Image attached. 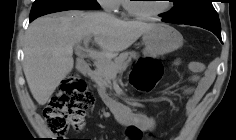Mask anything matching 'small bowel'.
<instances>
[{
  "label": "small bowel",
  "instance_id": "obj_1",
  "mask_svg": "<svg viewBox=\"0 0 236 140\" xmlns=\"http://www.w3.org/2000/svg\"><path fill=\"white\" fill-rule=\"evenodd\" d=\"M180 63V59H176L174 61L175 65H179ZM188 68L192 73L189 77L190 84L183 87V92L188 95L186 115L187 117H190L194 114L197 105L211 86L215 78V74L210 68L205 69L204 65L198 61H191L188 64ZM129 122L136 123L142 130L153 131L157 126L154 118L143 115L132 116L130 120L125 123Z\"/></svg>",
  "mask_w": 236,
  "mask_h": 140
}]
</instances>
